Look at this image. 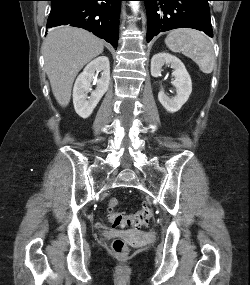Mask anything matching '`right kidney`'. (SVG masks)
<instances>
[{"label":"right kidney","mask_w":250,"mask_h":285,"mask_svg":"<svg viewBox=\"0 0 250 285\" xmlns=\"http://www.w3.org/2000/svg\"><path fill=\"white\" fill-rule=\"evenodd\" d=\"M101 72L97 79L96 74ZM96 82V89L91 92V82ZM110 83V63L106 56H100L91 61L77 77L73 88V104L76 113L82 118H88L102 96L107 92Z\"/></svg>","instance_id":"right-kidney-1"}]
</instances>
